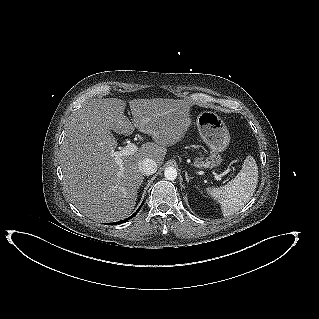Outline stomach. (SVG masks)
<instances>
[{"instance_id": "1", "label": "stomach", "mask_w": 319, "mask_h": 319, "mask_svg": "<svg viewBox=\"0 0 319 319\" xmlns=\"http://www.w3.org/2000/svg\"><path fill=\"white\" fill-rule=\"evenodd\" d=\"M189 125L191 123V117ZM196 125L203 141L213 154L226 149L230 143V133L222 118L212 111H202L196 117Z\"/></svg>"}]
</instances>
